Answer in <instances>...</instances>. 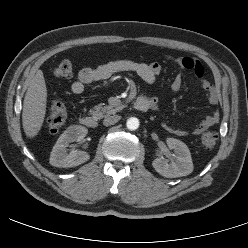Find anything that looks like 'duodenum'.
<instances>
[{"label":"duodenum","instance_id":"410a0bca","mask_svg":"<svg viewBox=\"0 0 248 248\" xmlns=\"http://www.w3.org/2000/svg\"><path fill=\"white\" fill-rule=\"evenodd\" d=\"M133 107L137 111L145 112L150 109V102L147 97H140L134 101ZM81 123L87 128H96L98 125V117L94 115L85 116L82 118Z\"/></svg>","mask_w":248,"mask_h":248}]
</instances>
